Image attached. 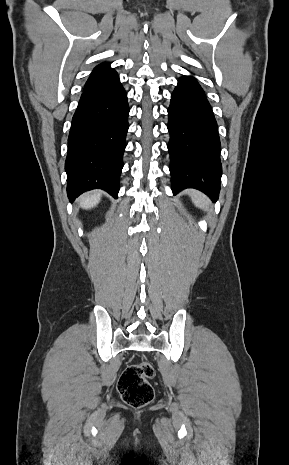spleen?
I'll use <instances>...</instances> for the list:
<instances>
[{
	"instance_id": "3e777b00",
	"label": "spleen",
	"mask_w": 289,
	"mask_h": 465,
	"mask_svg": "<svg viewBox=\"0 0 289 465\" xmlns=\"http://www.w3.org/2000/svg\"><path fill=\"white\" fill-rule=\"evenodd\" d=\"M192 202L199 208L206 210L209 204V199L201 192L196 190L189 191Z\"/></svg>"
}]
</instances>
